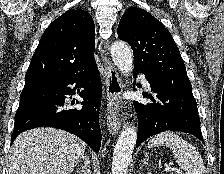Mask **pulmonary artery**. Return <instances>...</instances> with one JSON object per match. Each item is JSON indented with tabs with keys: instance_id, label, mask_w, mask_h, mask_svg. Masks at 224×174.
I'll return each instance as SVG.
<instances>
[{
	"instance_id": "pulmonary-artery-1",
	"label": "pulmonary artery",
	"mask_w": 224,
	"mask_h": 174,
	"mask_svg": "<svg viewBox=\"0 0 224 174\" xmlns=\"http://www.w3.org/2000/svg\"><path fill=\"white\" fill-rule=\"evenodd\" d=\"M141 78H142V81H143L145 87H146L148 90H150V85H149L148 81L146 80V78L143 77V76H142Z\"/></svg>"
}]
</instances>
